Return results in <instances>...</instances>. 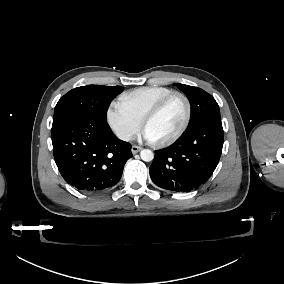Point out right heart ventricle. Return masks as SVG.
I'll use <instances>...</instances> for the list:
<instances>
[{"mask_svg":"<svg viewBox=\"0 0 284 284\" xmlns=\"http://www.w3.org/2000/svg\"><path fill=\"white\" fill-rule=\"evenodd\" d=\"M175 91L163 86H142L124 92L119 97V105L142 120L144 115L159 101Z\"/></svg>","mask_w":284,"mask_h":284,"instance_id":"1","label":"right heart ventricle"}]
</instances>
